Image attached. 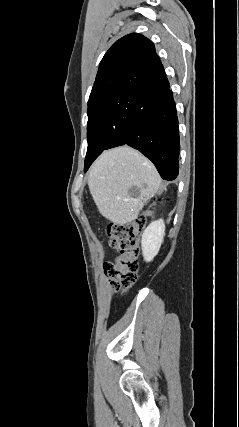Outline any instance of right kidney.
I'll list each match as a JSON object with an SVG mask.
<instances>
[{
    "mask_svg": "<svg viewBox=\"0 0 239 427\" xmlns=\"http://www.w3.org/2000/svg\"><path fill=\"white\" fill-rule=\"evenodd\" d=\"M165 224L162 219L152 222L143 232L141 246L144 260L150 262L158 254L163 237Z\"/></svg>",
    "mask_w": 239,
    "mask_h": 427,
    "instance_id": "right-kidney-1",
    "label": "right kidney"
}]
</instances>
